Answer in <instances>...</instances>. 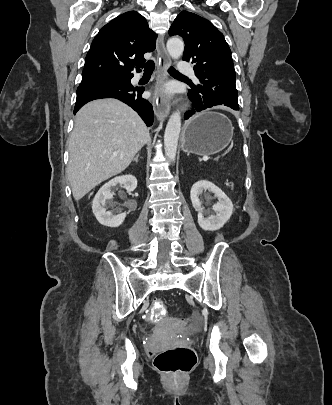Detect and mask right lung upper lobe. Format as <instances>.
<instances>
[{
	"mask_svg": "<svg viewBox=\"0 0 332 405\" xmlns=\"http://www.w3.org/2000/svg\"><path fill=\"white\" fill-rule=\"evenodd\" d=\"M156 36L138 12L121 14L95 36L86 55L82 77L133 76V64L145 62L143 54L155 49Z\"/></svg>",
	"mask_w": 332,
	"mask_h": 405,
	"instance_id": "obj_1",
	"label": "right lung upper lobe"
}]
</instances>
